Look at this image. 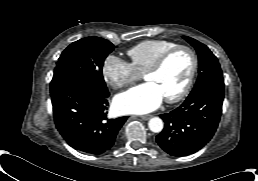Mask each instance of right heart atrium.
<instances>
[{"instance_id": "d8ad5b80", "label": "right heart atrium", "mask_w": 258, "mask_h": 181, "mask_svg": "<svg viewBox=\"0 0 258 181\" xmlns=\"http://www.w3.org/2000/svg\"><path fill=\"white\" fill-rule=\"evenodd\" d=\"M102 75L105 82L115 89L125 87L140 77V74L129 62L114 55L105 58L102 65Z\"/></svg>"}]
</instances>
